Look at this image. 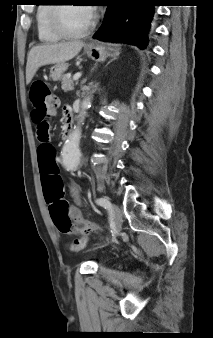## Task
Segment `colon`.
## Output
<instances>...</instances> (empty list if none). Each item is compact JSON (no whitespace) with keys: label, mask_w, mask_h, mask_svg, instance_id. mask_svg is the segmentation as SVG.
<instances>
[{"label":"colon","mask_w":213,"mask_h":338,"mask_svg":"<svg viewBox=\"0 0 213 338\" xmlns=\"http://www.w3.org/2000/svg\"><path fill=\"white\" fill-rule=\"evenodd\" d=\"M29 99L31 102V118L37 127L36 136L45 144L49 142L52 137L50 126L45 121L57 111L58 104L51 93L48 83L44 80H39L32 84ZM41 151L46 158H49L56 152V149L43 146ZM68 212L69 205L64 201L56 203L51 207L52 218L59 227L66 225ZM93 227L94 226H89L85 228L84 234L68 245L69 250L72 252L82 250L87 244L88 235Z\"/></svg>","instance_id":"5ec220e1"}]
</instances>
